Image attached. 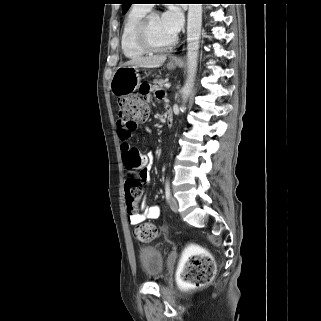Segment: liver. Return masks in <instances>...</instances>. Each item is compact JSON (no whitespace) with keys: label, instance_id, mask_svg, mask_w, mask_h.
<instances>
[{"label":"liver","instance_id":"6515ba94","mask_svg":"<svg viewBox=\"0 0 321 321\" xmlns=\"http://www.w3.org/2000/svg\"><path fill=\"white\" fill-rule=\"evenodd\" d=\"M166 55H154V56H146V57H137L133 58L123 66H135V67H144V68H158L163 65L166 61Z\"/></svg>","mask_w":321,"mask_h":321}]
</instances>
